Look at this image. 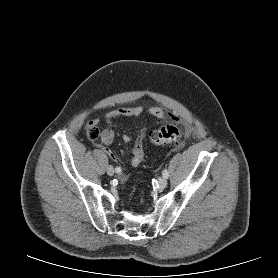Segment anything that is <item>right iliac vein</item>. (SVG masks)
I'll use <instances>...</instances> for the list:
<instances>
[{"label": "right iliac vein", "mask_w": 278, "mask_h": 278, "mask_svg": "<svg viewBox=\"0 0 278 278\" xmlns=\"http://www.w3.org/2000/svg\"><path fill=\"white\" fill-rule=\"evenodd\" d=\"M114 172H115V170H114V168H113L112 166H109V167L107 168V174H108L109 176H113V175H114Z\"/></svg>", "instance_id": "right-iliac-vein-1"}]
</instances>
